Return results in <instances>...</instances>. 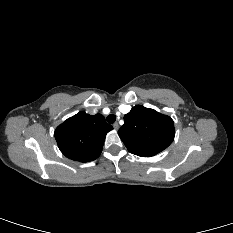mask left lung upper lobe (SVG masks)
<instances>
[{
    "instance_id": "1",
    "label": "left lung upper lobe",
    "mask_w": 233,
    "mask_h": 233,
    "mask_svg": "<svg viewBox=\"0 0 233 233\" xmlns=\"http://www.w3.org/2000/svg\"><path fill=\"white\" fill-rule=\"evenodd\" d=\"M118 134L129 152L141 157H151L172 143L175 130L169 116L136 105L124 116V125Z\"/></svg>"
}]
</instances>
